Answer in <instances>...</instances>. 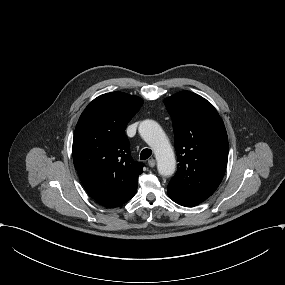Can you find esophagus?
Returning <instances> with one entry per match:
<instances>
[{"label": "esophagus", "mask_w": 285, "mask_h": 285, "mask_svg": "<svg viewBox=\"0 0 285 285\" xmlns=\"http://www.w3.org/2000/svg\"><path fill=\"white\" fill-rule=\"evenodd\" d=\"M148 165H149L151 168H153V167L156 165L155 159H149V160H148Z\"/></svg>", "instance_id": "obj_1"}]
</instances>
